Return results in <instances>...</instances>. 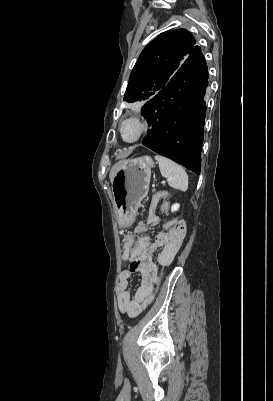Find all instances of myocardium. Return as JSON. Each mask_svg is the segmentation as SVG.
Here are the masks:
<instances>
[{
  "label": "myocardium",
  "mask_w": 273,
  "mask_h": 401,
  "mask_svg": "<svg viewBox=\"0 0 273 401\" xmlns=\"http://www.w3.org/2000/svg\"><path fill=\"white\" fill-rule=\"evenodd\" d=\"M129 122H132L137 125L138 134L133 140L127 141L122 136V128H123L124 124L129 123ZM151 129H152V122L148 117H146L144 115H139V114H132V115H129V116L123 118L119 122L117 130H118L119 139L124 144L133 145V144H136V143L140 142L141 140H143L144 137L150 132Z\"/></svg>",
  "instance_id": "f54148a6"
}]
</instances>
